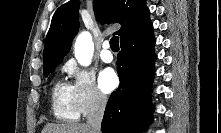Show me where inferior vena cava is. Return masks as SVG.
Wrapping results in <instances>:
<instances>
[{
    "mask_svg": "<svg viewBox=\"0 0 221 133\" xmlns=\"http://www.w3.org/2000/svg\"><path fill=\"white\" fill-rule=\"evenodd\" d=\"M107 99L97 94L86 117V125L90 133H101V122L103 119Z\"/></svg>",
    "mask_w": 221,
    "mask_h": 133,
    "instance_id": "1",
    "label": "inferior vena cava"
}]
</instances>
